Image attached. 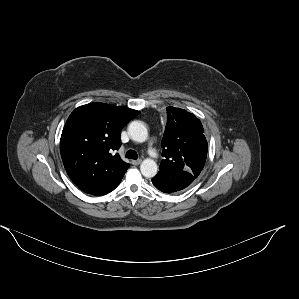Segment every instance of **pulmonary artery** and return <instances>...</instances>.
<instances>
[{
    "instance_id": "obj_1",
    "label": "pulmonary artery",
    "mask_w": 299,
    "mask_h": 299,
    "mask_svg": "<svg viewBox=\"0 0 299 299\" xmlns=\"http://www.w3.org/2000/svg\"><path fill=\"white\" fill-rule=\"evenodd\" d=\"M148 147H149V149H150V151H151L152 157H153V158H157V154H155V153L153 152V147H152V144H151V143L149 144Z\"/></svg>"
}]
</instances>
